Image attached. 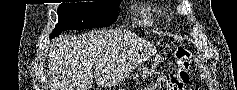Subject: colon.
<instances>
[{
  "label": "colon",
  "instance_id": "colon-1",
  "mask_svg": "<svg viewBox=\"0 0 237 90\" xmlns=\"http://www.w3.org/2000/svg\"><path fill=\"white\" fill-rule=\"evenodd\" d=\"M176 58L178 63L176 70L158 78L144 90H183L190 80L192 54L188 49L178 47Z\"/></svg>",
  "mask_w": 237,
  "mask_h": 90
}]
</instances>
